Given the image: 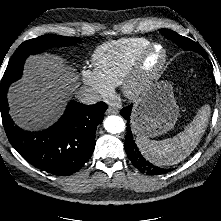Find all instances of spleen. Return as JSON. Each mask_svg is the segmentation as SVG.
<instances>
[{
  "label": "spleen",
  "mask_w": 221,
  "mask_h": 221,
  "mask_svg": "<svg viewBox=\"0 0 221 221\" xmlns=\"http://www.w3.org/2000/svg\"><path fill=\"white\" fill-rule=\"evenodd\" d=\"M210 117V107L203 106L193 121L173 138L161 141L138 136L136 144L143 156L157 166L178 164L188 157L200 142Z\"/></svg>",
  "instance_id": "obj_1"
}]
</instances>
